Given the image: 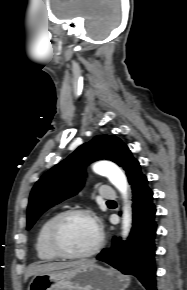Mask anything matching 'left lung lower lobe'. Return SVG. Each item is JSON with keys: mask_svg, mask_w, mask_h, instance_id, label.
I'll return each mask as SVG.
<instances>
[{"mask_svg": "<svg viewBox=\"0 0 187 290\" xmlns=\"http://www.w3.org/2000/svg\"><path fill=\"white\" fill-rule=\"evenodd\" d=\"M147 182L142 174L131 186L133 227L128 240L114 238L111 248L104 249L97 259L137 277L147 290H156V206Z\"/></svg>", "mask_w": 187, "mask_h": 290, "instance_id": "obj_1", "label": "left lung lower lobe"}]
</instances>
